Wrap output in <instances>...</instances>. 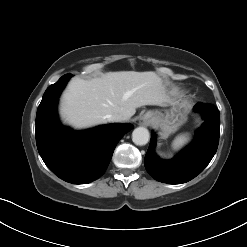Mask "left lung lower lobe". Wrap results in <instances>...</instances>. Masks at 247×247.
<instances>
[{
    "label": "left lung lower lobe",
    "instance_id": "0a47b994",
    "mask_svg": "<svg viewBox=\"0 0 247 247\" xmlns=\"http://www.w3.org/2000/svg\"><path fill=\"white\" fill-rule=\"evenodd\" d=\"M194 111L205 120L187 148L172 160H161L154 152L155 134H152L144 164L147 172L157 181L170 184L188 182L200 174L215 155L219 143L220 113L212 104L197 103Z\"/></svg>",
    "mask_w": 247,
    "mask_h": 247
}]
</instances>
